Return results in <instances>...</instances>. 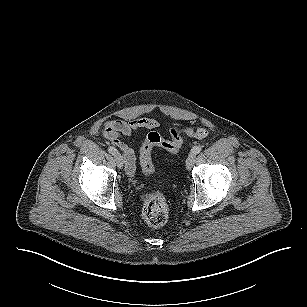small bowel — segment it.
Returning a JSON list of instances; mask_svg holds the SVG:
<instances>
[{"mask_svg":"<svg viewBox=\"0 0 307 307\" xmlns=\"http://www.w3.org/2000/svg\"><path fill=\"white\" fill-rule=\"evenodd\" d=\"M159 126L154 118L140 117L129 121L108 120L104 123L103 134L116 146L125 159L126 172L133 175L136 169V156L134 150L122 141V137H130L138 130H153Z\"/></svg>","mask_w":307,"mask_h":307,"instance_id":"small-bowel-1","label":"small bowel"}]
</instances>
